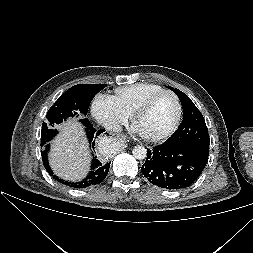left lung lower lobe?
Masks as SVG:
<instances>
[{
	"mask_svg": "<svg viewBox=\"0 0 253 253\" xmlns=\"http://www.w3.org/2000/svg\"><path fill=\"white\" fill-rule=\"evenodd\" d=\"M141 167L150 183L165 189H183L192 185L205 168L208 154L184 145L163 143L152 150Z\"/></svg>",
	"mask_w": 253,
	"mask_h": 253,
	"instance_id": "0a47b994",
	"label": "left lung lower lobe"
}]
</instances>
